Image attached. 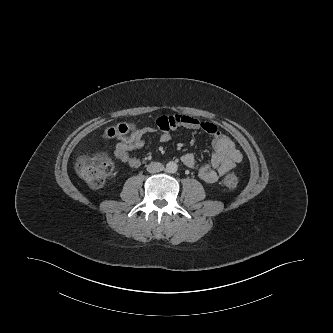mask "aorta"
I'll list each match as a JSON object with an SVG mask.
<instances>
[{
    "mask_svg": "<svg viewBox=\"0 0 333 333\" xmlns=\"http://www.w3.org/2000/svg\"><path fill=\"white\" fill-rule=\"evenodd\" d=\"M178 170V165L173 162V161H170L166 164V171L168 173H176Z\"/></svg>",
    "mask_w": 333,
    "mask_h": 333,
    "instance_id": "1",
    "label": "aorta"
}]
</instances>
